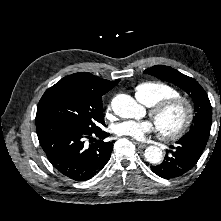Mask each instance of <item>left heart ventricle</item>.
Instances as JSON below:
<instances>
[{"label": "left heart ventricle", "mask_w": 221, "mask_h": 221, "mask_svg": "<svg viewBox=\"0 0 221 221\" xmlns=\"http://www.w3.org/2000/svg\"><path fill=\"white\" fill-rule=\"evenodd\" d=\"M182 120V111L178 106L165 110L158 119V125L165 131L175 129Z\"/></svg>", "instance_id": "obj_1"}]
</instances>
